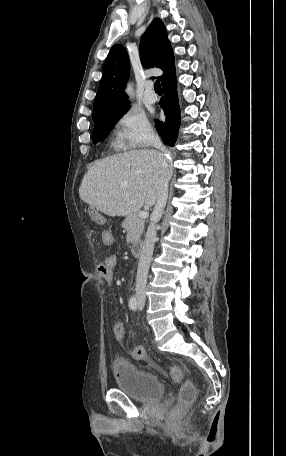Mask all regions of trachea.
<instances>
[{
    "label": "trachea",
    "instance_id": "obj_1",
    "mask_svg": "<svg viewBox=\"0 0 286 456\" xmlns=\"http://www.w3.org/2000/svg\"><path fill=\"white\" fill-rule=\"evenodd\" d=\"M154 89H155L156 92H162V88H161V85H160V80H157L154 83Z\"/></svg>",
    "mask_w": 286,
    "mask_h": 456
}]
</instances>
